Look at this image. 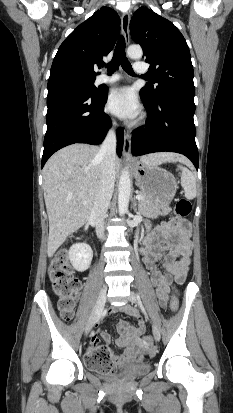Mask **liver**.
Wrapping results in <instances>:
<instances>
[{
	"label": "liver",
	"instance_id": "1",
	"mask_svg": "<svg viewBox=\"0 0 233 413\" xmlns=\"http://www.w3.org/2000/svg\"><path fill=\"white\" fill-rule=\"evenodd\" d=\"M99 150L98 146L72 144L56 152L44 166L43 190L49 219L47 254L50 258L91 214L101 177ZM140 160L152 166L186 162L183 156L168 152L150 154ZM119 169L120 161L116 158V174Z\"/></svg>",
	"mask_w": 233,
	"mask_h": 413
}]
</instances>
